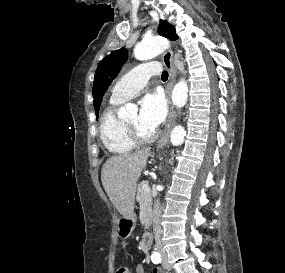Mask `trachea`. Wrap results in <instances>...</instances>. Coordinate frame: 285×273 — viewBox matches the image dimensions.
<instances>
[{"label": "trachea", "instance_id": "1", "mask_svg": "<svg viewBox=\"0 0 285 273\" xmlns=\"http://www.w3.org/2000/svg\"><path fill=\"white\" fill-rule=\"evenodd\" d=\"M161 77H162V80H167L168 79V72L163 71Z\"/></svg>", "mask_w": 285, "mask_h": 273}]
</instances>
